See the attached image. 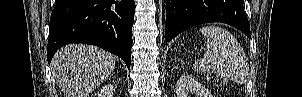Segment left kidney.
<instances>
[{
    "instance_id": "left-kidney-1",
    "label": "left kidney",
    "mask_w": 302,
    "mask_h": 97,
    "mask_svg": "<svg viewBox=\"0 0 302 97\" xmlns=\"http://www.w3.org/2000/svg\"><path fill=\"white\" fill-rule=\"evenodd\" d=\"M177 97H212L211 93L190 75H182L176 84Z\"/></svg>"
}]
</instances>
